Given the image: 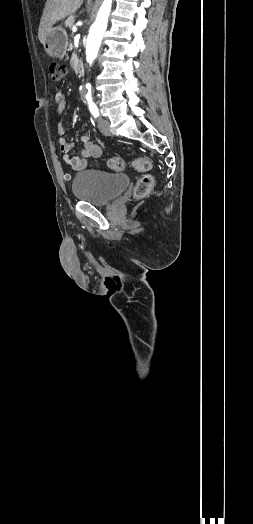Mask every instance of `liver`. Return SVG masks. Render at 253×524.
Listing matches in <instances>:
<instances>
[{
  "label": "liver",
  "instance_id": "obj_1",
  "mask_svg": "<svg viewBox=\"0 0 253 524\" xmlns=\"http://www.w3.org/2000/svg\"><path fill=\"white\" fill-rule=\"evenodd\" d=\"M82 2L83 0H47L38 29L39 41L44 45L52 25L76 12Z\"/></svg>",
  "mask_w": 253,
  "mask_h": 524
}]
</instances>
